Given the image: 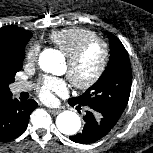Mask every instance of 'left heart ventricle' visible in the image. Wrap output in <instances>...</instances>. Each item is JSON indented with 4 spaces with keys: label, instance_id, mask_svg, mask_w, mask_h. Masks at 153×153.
Instances as JSON below:
<instances>
[{
    "label": "left heart ventricle",
    "instance_id": "b2bd125f",
    "mask_svg": "<svg viewBox=\"0 0 153 153\" xmlns=\"http://www.w3.org/2000/svg\"><path fill=\"white\" fill-rule=\"evenodd\" d=\"M103 50L101 45H92L81 57L79 62L73 68V75L78 81L88 80L97 70ZM69 65L66 63V72L69 71Z\"/></svg>",
    "mask_w": 153,
    "mask_h": 153
}]
</instances>
